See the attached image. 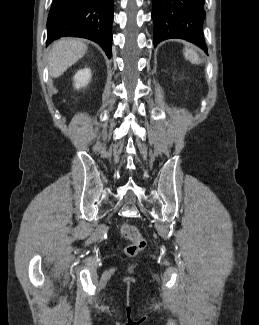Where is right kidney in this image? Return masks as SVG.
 I'll use <instances>...</instances> for the list:
<instances>
[{
  "label": "right kidney",
  "instance_id": "ca27d5eb",
  "mask_svg": "<svg viewBox=\"0 0 259 325\" xmlns=\"http://www.w3.org/2000/svg\"><path fill=\"white\" fill-rule=\"evenodd\" d=\"M91 70L88 68L79 70L74 76V87L79 89L85 87L91 80Z\"/></svg>",
  "mask_w": 259,
  "mask_h": 325
}]
</instances>
